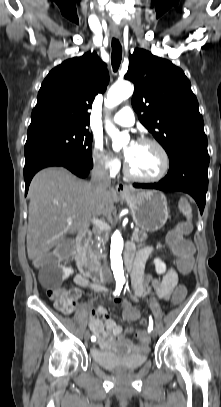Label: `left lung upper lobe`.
I'll return each instance as SVG.
<instances>
[{
	"mask_svg": "<svg viewBox=\"0 0 221 407\" xmlns=\"http://www.w3.org/2000/svg\"><path fill=\"white\" fill-rule=\"evenodd\" d=\"M125 79L134 83L133 109L168 156L189 140H207L198 101L184 72L144 49L129 57Z\"/></svg>",
	"mask_w": 221,
	"mask_h": 407,
	"instance_id": "1",
	"label": "left lung upper lobe"
}]
</instances>
